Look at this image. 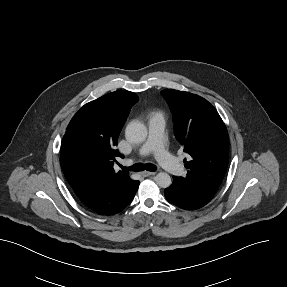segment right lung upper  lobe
<instances>
[{
  "instance_id": "cb5924a9",
  "label": "right lung upper lobe",
  "mask_w": 287,
  "mask_h": 287,
  "mask_svg": "<svg viewBox=\"0 0 287 287\" xmlns=\"http://www.w3.org/2000/svg\"><path fill=\"white\" fill-rule=\"evenodd\" d=\"M137 101L136 94L118 90L85 104L74 115L66 131L79 141L84 154L76 160L61 159V166L75 194L130 179L128 172L116 173L113 165L117 157H124L116 149L117 140Z\"/></svg>"
}]
</instances>
